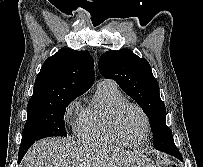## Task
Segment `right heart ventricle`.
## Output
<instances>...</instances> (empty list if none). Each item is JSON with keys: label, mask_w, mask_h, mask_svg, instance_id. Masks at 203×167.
Listing matches in <instances>:
<instances>
[{"label": "right heart ventricle", "mask_w": 203, "mask_h": 167, "mask_svg": "<svg viewBox=\"0 0 203 167\" xmlns=\"http://www.w3.org/2000/svg\"><path fill=\"white\" fill-rule=\"evenodd\" d=\"M122 101H125V97L115 83L101 82L76 123L77 137L89 143L124 146L111 133L108 125L112 112Z\"/></svg>", "instance_id": "right-heart-ventricle-1"}]
</instances>
